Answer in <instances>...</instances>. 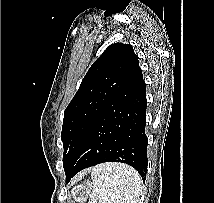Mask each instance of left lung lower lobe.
Returning <instances> with one entry per match:
<instances>
[{
  "label": "left lung lower lobe",
  "mask_w": 214,
  "mask_h": 203,
  "mask_svg": "<svg viewBox=\"0 0 214 203\" xmlns=\"http://www.w3.org/2000/svg\"><path fill=\"white\" fill-rule=\"evenodd\" d=\"M146 107V86L138 67L88 129L65 170L66 182L79 171L103 162L126 163L134 167L145 182L148 165Z\"/></svg>",
  "instance_id": "obj_1"
}]
</instances>
